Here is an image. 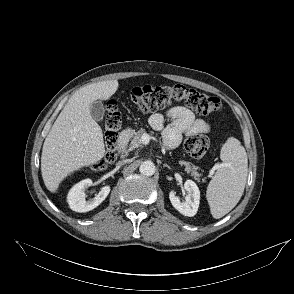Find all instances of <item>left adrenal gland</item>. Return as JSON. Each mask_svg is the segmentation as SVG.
Masks as SVG:
<instances>
[{"label":"left adrenal gland","mask_w":294,"mask_h":294,"mask_svg":"<svg viewBox=\"0 0 294 294\" xmlns=\"http://www.w3.org/2000/svg\"><path fill=\"white\" fill-rule=\"evenodd\" d=\"M163 167H167L168 169H171V167L167 164H163Z\"/></svg>","instance_id":"1"}]
</instances>
